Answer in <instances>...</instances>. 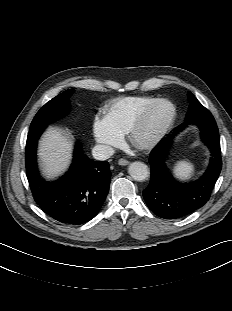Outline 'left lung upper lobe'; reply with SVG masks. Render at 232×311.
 I'll use <instances>...</instances> for the list:
<instances>
[{
	"instance_id": "left-lung-upper-lobe-1",
	"label": "left lung upper lobe",
	"mask_w": 232,
	"mask_h": 311,
	"mask_svg": "<svg viewBox=\"0 0 232 311\" xmlns=\"http://www.w3.org/2000/svg\"><path fill=\"white\" fill-rule=\"evenodd\" d=\"M188 98L190 101V106L186 115V119L196 116H203L210 113V111L206 109L190 91L188 92Z\"/></svg>"
}]
</instances>
